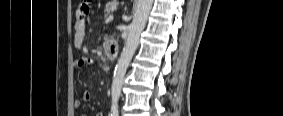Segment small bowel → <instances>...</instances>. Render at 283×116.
<instances>
[{"mask_svg":"<svg viewBox=\"0 0 283 116\" xmlns=\"http://www.w3.org/2000/svg\"><path fill=\"white\" fill-rule=\"evenodd\" d=\"M86 13H87V9L85 6H80L76 11L77 18L74 22L73 43L74 46L77 48H81L83 46L84 38L86 35L85 23H84V17ZM91 62L92 60L90 58L84 57L76 62V67L82 68L90 64ZM91 99H92V93L88 90L84 91L82 94V100L84 102H88ZM75 106L79 107L80 101H76ZM97 116H103V113H98Z\"/></svg>","mask_w":283,"mask_h":116,"instance_id":"small-bowel-1","label":"small bowel"}]
</instances>
